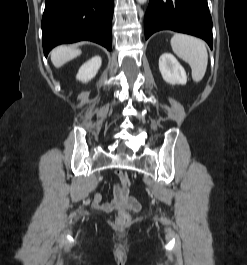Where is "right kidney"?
<instances>
[{"instance_id": "right-kidney-1", "label": "right kidney", "mask_w": 247, "mask_h": 265, "mask_svg": "<svg viewBox=\"0 0 247 265\" xmlns=\"http://www.w3.org/2000/svg\"><path fill=\"white\" fill-rule=\"evenodd\" d=\"M101 63L102 61L99 56L93 57L92 59H90L89 61H87L80 67L76 78L79 81H82L85 83L88 82L93 77H95L99 68L101 67Z\"/></svg>"}]
</instances>
